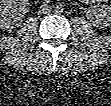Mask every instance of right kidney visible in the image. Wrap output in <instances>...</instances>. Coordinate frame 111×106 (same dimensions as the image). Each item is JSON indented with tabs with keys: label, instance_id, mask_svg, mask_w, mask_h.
<instances>
[{
	"label": "right kidney",
	"instance_id": "right-kidney-1",
	"mask_svg": "<svg viewBox=\"0 0 111 106\" xmlns=\"http://www.w3.org/2000/svg\"><path fill=\"white\" fill-rule=\"evenodd\" d=\"M0 7L1 27L10 30L20 25L22 14L29 10V3L27 0H2Z\"/></svg>",
	"mask_w": 111,
	"mask_h": 106
}]
</instances>
